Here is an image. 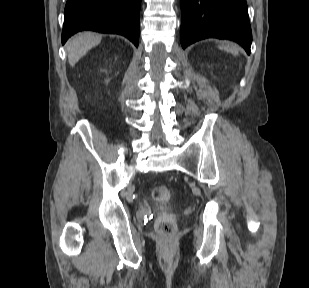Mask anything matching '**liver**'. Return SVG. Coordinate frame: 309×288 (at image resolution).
Wrapping results in <instances>:
<instances>
[{
	"mask_svg": "<svg viewBox=\"0 0 309 288\" xmlns=\"http://www.w3.org/2000/svg\"><path fill=\"white\" fill-rule=\"evenodd\" d=\"M101 39V35L91 32L79 33L71 38L66 45L70 66H74L91 48L98 45Z\"/></svg>",
	"mask_w": 309,
	"mask_h": 288,
	"instance_id": "6515ba94",
	"label": "liver"
}]
</instances>
